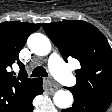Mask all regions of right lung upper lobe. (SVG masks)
<instances>
[{"label":"right lung upper lobe","instance_id":"cb5924a9","mask_svg":"<svg viewBox=\"0 0 112 112\" xmlns=\"http://www.w3.org/2000/svg\"><path fill=\"white\" fill-rule=\"evenodd\" d=\"M41 24L18 21L0 23V112H18L24 101L41 78H27L25 67L19 60V52L28 36L38 30ZM17 63L24 72L15 77L10 71Z\"/></svg>","mask_w":112,"mask_h":112}]
</instances>
